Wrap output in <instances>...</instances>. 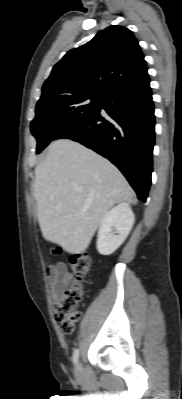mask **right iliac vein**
<instances>
[{"label": "right iliac vein", "mask_w": 182, "mask_h": 399, "mask_svg": "<svg viewBox=\"0 0 182 399\" xmlns=\"http://www.w3.org/2000/svg\"><path fill=\"white\" fill-rule=\"evenodd\" d=\"M81 370H82V366L80 363H78L75 367V376L76 377H80L81 376Z\"/></svg>", "instance_id": "63e3f726"}]
</instances>
